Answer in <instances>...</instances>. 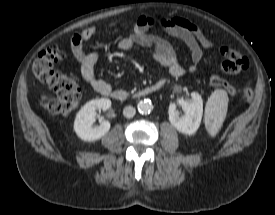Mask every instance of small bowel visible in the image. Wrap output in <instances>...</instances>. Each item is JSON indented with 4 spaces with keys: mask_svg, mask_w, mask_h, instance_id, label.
<instances>
[{
    "mask_svg": "<svg viewBox=\"0 0 275 215\" xmlns=\"http://www.w3.org/2000/svg\"><path fill=\"white\" fill-rule=\"evenodd\" d=\"M155 26H159L187 45L191 53V63L187 67L178 61L174 48L168 41L149 32ZM112 27L113 25L108 26V28ZM97 31L98 27L90 26L74 34L71 38V51L80 66L81 75L86 84L96 92L108 95L111 86L99 79L95 73V66L101 53L98 50L86 53L83 49L84 41L94 37ZM136 45L153 49V58L168 69L171 77H180L187 71L194 72L202 59V48L207 50L213 48V43L194 22L181 17L155 18L150 15H140L133 23L132 33L120 39L116 48L120 51H128Z\"/></svg>",
    "mask_w": 275,
    "mask_h": 215,
    "instance_id": "small-bowel-1",
    "label": "small bowel"
}]
</instances>
